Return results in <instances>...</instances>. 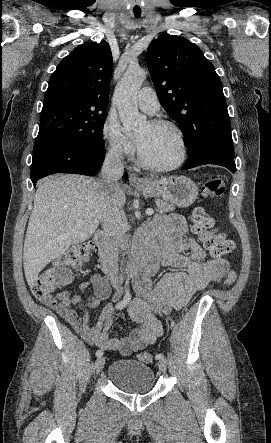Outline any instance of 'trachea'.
<instances>
[{
    "label": "trachea",
    "instance_id": "3493384b",
    "mask_svg": "<svg viewBox=\"0 0 271 443\" xmlns=\"http://www.w3.org/2000/svg\"><path fill=\"white\" fill-rule=\"evenodd\" d=\"M131 6L133 9V17L134 18H141L142 17V10L139 9L140 3L137 0L132 1Z\"/></svg>",
    "mask_w": 271,
    "mask_h": 443
}]
</instances>
